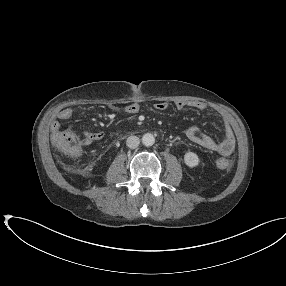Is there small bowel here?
<instances>
[{"label":"small bowel","instance_id":"obj_1","mask_svg":"<svg viewBox=\"0 0 286 286\" xmlns=\"http://www.w3.org/2000/svg\"><path fill=\"white\" fill-rule=\"evenodd\" d=\"M169 107L167 102H158L154 104V108L158 111H165ZM186 107L193 108L195 110L203 111L206 109V105L199 101L185 102L179 100L175 102V108L178 111L184 110ZM124 111L129 114H136L140 111V103L134 101L124 108ZM74 115V111L70 107L63 108L57 114L58 119L62 121L70 120ZM61 124L55 120L51 123L50 130L51 135L60 131ZM224 135L221 141H216L212 137L203 134L199 128H189L185 135L189 141L195 145L210 151H215L223 156L230 155L235 148V137L230 122L227 119H223ZM86 137V143L91 144L93 142L100 141L104 138V133L101 131H88L83 134Z\"/></svg>","mask_w":286,"mask_h":286}]
</instances>
